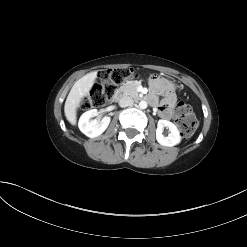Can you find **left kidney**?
I'll list each match as a JSON object with an SVG mask.
<instances>
[{
	"label": "left kidney",
	"mask_w": 247,
	"mask_h": 247,
	"mask_svg": "<svg viewBox=\"0 0 247 247\" xmlns=\"http://www.w3.org/2000/svg\"><path fill=\"white\" fill-rule=\"evenodd\" d=\"M164 127L170 131L167 137H164L162 132ZM156 139L163 146L172 147L180 143L181 135L176 125L167 120H159L156 129Z\"/></svg>",
	"instance_id": "obj_1"
}]
</instances>
